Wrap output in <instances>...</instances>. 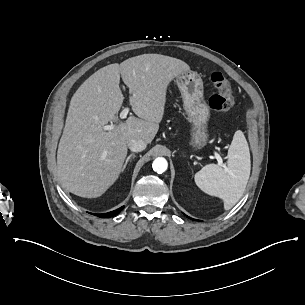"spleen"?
I'll list each match as a JSON object with an SVG mask.
<instances>
[{
    "mask_svg": "<svg viewBox=\"0 0 305 305\" xmlns=\"http://www.w3.org/2000/svg\"><path fill=\"white\" fill-rule=\"evenodd\" d=\"M250 175V154L247 141L240 130L235 131L227 151L226 168L211 164L195 173L197 187L223 202L224 210L232 208L243 195Z\"/></svg>",
    "mask_w": 305,
    "mask_h": 305,
    "instance_id": "obj_1",
    "label": "spleen"
}]
</instances>
